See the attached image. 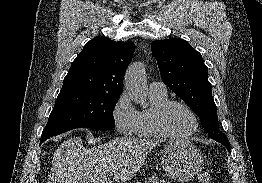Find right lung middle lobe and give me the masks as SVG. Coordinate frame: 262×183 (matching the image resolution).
I'll list each match as a JSON object with an SVG mask.
<instances>
[{
	"mask_svg": "<svg viewBox=\"0 0 262 183\" xmlns=\"http://www.w3.org/2000/svg\"><path fill=\"white\" fill-rule=\"evenodd\" d=\"M119 97L120 94L83 90L60 93L42 137L81 127L99 130L115 127L113 109Z\"/></svg>",
	"mask_w": 262,
	"mask_h": 183,
	"instance_id": "1",
	"label": "right lung middle lobe"
}]
</instances>
